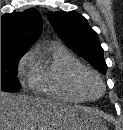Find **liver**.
I'll use <instances>...</instances> for the list:
<instances>
[{
	"label": "liver",
	"instance_id": "1",
	"mask_svg": "<svg viewBox=\"0 0 123 130\" xmlns=\"http://www.w3.org/2000/svg\"><path fill=\"white\" fill-rule=\"evenodd\" d=\"M101 122L87 107L1 92V130H96Z\"/></svg>",
	"mask_w": 123,
	"mask_h": 130
}]
</instances>
